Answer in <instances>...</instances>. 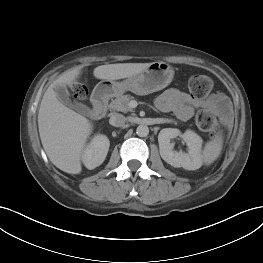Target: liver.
<instances>
[{"label":"liver","mask_w":263,"mask_h":263,"mask_svg":"<svg viewBox=\"0 0 263 263\" xmlns=\"http://www.w3.org/2000/svg\"><path fill=\"white\" fill-rule=\"evenodd\" d=\"M151 63H117L101 65L93 75L102 80H118L135 75ZM81 68L65 72L45 91L38 113V128L43 148L50 161L69 174L82 171L81 156L92 133V123L81 114L63 105L54 91L58 86H72Z\"/></svg>","instance_id":"obj_1"}]
</instances>
